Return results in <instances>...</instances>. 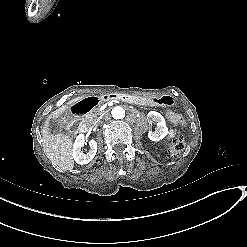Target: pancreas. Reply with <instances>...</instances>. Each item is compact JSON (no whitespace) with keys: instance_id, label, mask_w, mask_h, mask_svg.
<instances>
[{"instance_id":"1","label":"pancreas","mask_w":247,"mask_h":247,"mask_svg":"<svg viewBox=\"0 0 247 247\" xmlns=\"http://www.w3.org/2000/svg\"><path fill=\"white\" fill-rule=\"evenodd\" d=\"M104 114V111H100L99 107H94L87 115L86 120L93 122L95 119H97L98 116H101Z\"/></svg>"}]
</instances>
